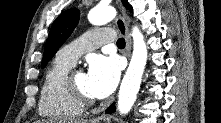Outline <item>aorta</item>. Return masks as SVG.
I'll list each match as a JSON object with an SVG mask.
<instances>
[{
	"label": "aorta",
	"instance_id": "obj_1",
	"mask_svg": "<svg viewBox=\"0 0 221 123\" xmlns=\"http://www.w3.org/2000/svg\"><path fill=\"white\" fill-rule=\"evenodd\" d=\"M115 16L113 7L98 6L89 12L88 20L93 25H102L111 22ZM132 37L133 53L118 95V110L121 114H127L135 103L147 62L144 36L136 26L133 27Z\"/></svg>",
	"mask_w": 221,
	"mask_h": 123
}]
</instances>
